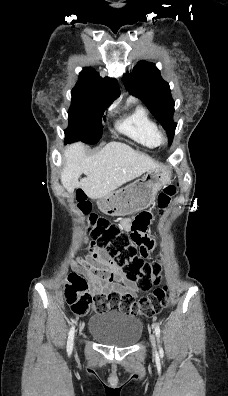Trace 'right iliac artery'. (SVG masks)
Masks as SVG:
<instances>
[{"label": "right iliac artery", "mask_w": 228, "mask_h": 396, "mask_svg": "<svg viewBox=\"0 0 228 396\" xmlns=\"http://www.w3.org/2000/svg\"><path fill=\"white\" fill-rule=\"evenodd\" d=\"M74 332H75V326H72V328L69 331L68 340H67V353H68V355L71 354L72 349H73Z\"/></svg>", "instance_id": "82829eb1"}]
</instances>
